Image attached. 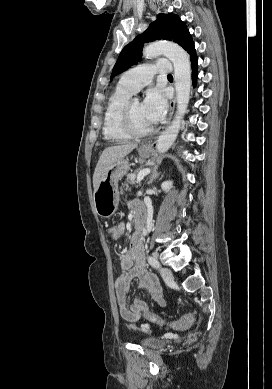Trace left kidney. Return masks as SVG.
<instances>
[{
	"mask_svg": "<svg viewBox=\"0 0 272 389\" xmlns=\"http://www.w3.org/2000/svg\"><path fill=\"white\" fill-rule=\"evenodd\" d=\"M173 182L172 181H164L161 184V188L163 191L168 192L172 188Z\"/></svg>",
	"mask_w": 272,
	"mask_h": 389,
	"instance_id": "5707ae66",
	"label": "left kidney"
}]
</instances>
